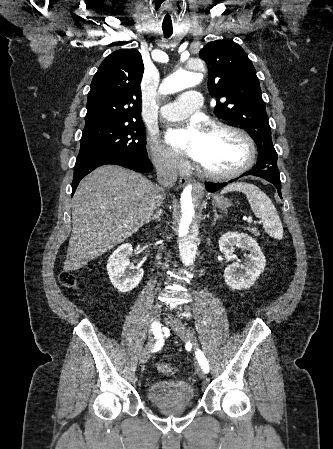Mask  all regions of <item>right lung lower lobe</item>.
I'll use <instances>...</instances> for the list:
<instances>
[{
  "label": "right lung lower lobe",
  "instance_id": "right-lung-lower-lobe-1",
  "mask_svg": "<svg viewBox=\"0 0 333 449\" xmlns=\"http://www.w3.org/2000/svg\"><path fill=\"white\" fill-rule=\"evenodd\" d=\"M106 164L120 165L141 173H147L153 170V165L148 159V156L126 157L120 154L104 153L78 155L74 171V179L72 182V195L74 194L80 180L84 176L89 174L95 168Z\"/></svg>",
  "mask_w": 333,
  "mask_h": 449
}]
</instances>
